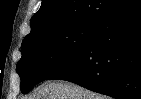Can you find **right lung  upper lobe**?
I'll list each match as a JSON object with an SVG mask.
<instances>
[{"label": "right lung upper lobe", "mask_w": 141, "mask_h": 99, "mask_svg": "<svg viewBox=\"0 0 141 99\" xmlns=\"http://www.w3.org/2000/svg\"><path fill=\"white\" fill-rule=\"evenodd\" d=\"M132 0H43L23 42L81 21H101Z\"/></svg>", "instance_id": "1"}]
</instances>
